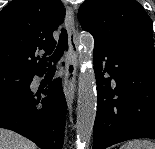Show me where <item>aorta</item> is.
<instances>
[{"label":"aorta","mask_w":155,"mask_h":149,"mask_svg":"<svg viewBox=\"0 0 155 149\" xmlns=\"http://www.w3.org/2000/svg\"><path fill=\"white\" fill-rule=\"evenodd\" d=\"M78 44L81 73L78 79L76 145L77 149H88L97 111L95 73L90 61L94 39L91 34L82 33Z\"/></svg>","instance_id":"762f6f07"}]
</instances>
